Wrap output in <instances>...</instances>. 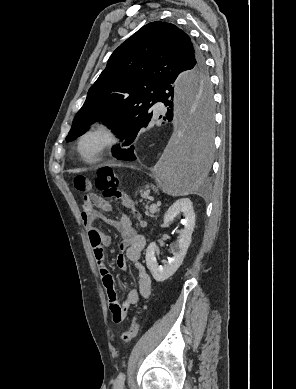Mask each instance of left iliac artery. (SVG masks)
I'll return each instance as SVG.
<instances>
[{"instance_id":"left-iliac-artery-1","label":"left iliac artery","mask_w":296,"mask_h":389,"mask_svg":"<svg viewBox=\"0 0 296 389\" xmlns=\"http://www.w3.org/2000/svg\"><path fill=\"white\" fill-rule=\"evenodd\" d=\"M125 373H120L116 379L115 389H123L125 383Z\"/></svg>"}]
</instances>
